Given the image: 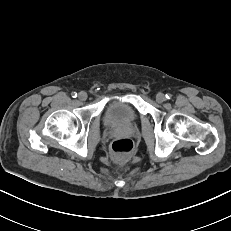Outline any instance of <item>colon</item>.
Wrapping results in <instances>:
<instances>
[{"mask_svg":"<svg viewBox=\"0 0 231 231\" xmlns=\"http://www.w3.org/2000/svg\"><path fill=\"white\" fill-rule=\"evenodd\" d=\"M133 148L134 144L128 138L116 139L111 145L112 154L119 161L126 160L132 153Z\"/></svg>","mask_w":231,"mask_h":231,"instance_id":"obj_1","label":"colon"}]
</instances>
